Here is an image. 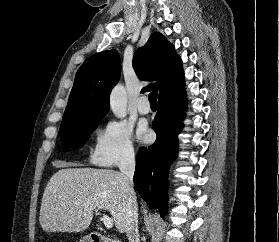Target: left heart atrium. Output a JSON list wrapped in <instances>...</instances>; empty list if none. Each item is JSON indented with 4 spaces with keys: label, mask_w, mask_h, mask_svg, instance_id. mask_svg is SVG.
I'll return each mask as SVG.
<instances>
[{
    "label": "left heart atrium",
    "mask_w": 279,
    "mask_h": 242,
    "mask_svg": "<svg viewBox=\"0 0 279 242\" xmlns=\"http://www.w3.org/2000/svg\"><path fill=\"white\" fill-rule=\"evenodd\" d=\"M138 136L141 140L145 141L149 138L150 132L146 123H141L138 127Z\"/></svg>",
    "instance_id": "1"
}]
</instances>
